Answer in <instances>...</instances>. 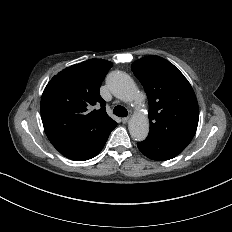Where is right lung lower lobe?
Instances as JSON below:
<instances>
[{
    "mask_svg": "<svg viewBox=\"0 0 232 232\" xmlns=\"http://www.w3.org/2000/svg\"><path fill=\"white\" fill-rule=\"evenodd\" d=\"M113 129H111L107 134L103 135L102 137H100L94 142L83 143V144L72 145V146H54V147L63 156L71 160L74 161L88 160L95 157L102 150L108 139L109 134Z\"/></svg>",
    "mask_w": 232,
    "mask_h": 232,
    "instance_id": "98d812e1",
    "label": "right lung lower lobe"
}]
</instances>
